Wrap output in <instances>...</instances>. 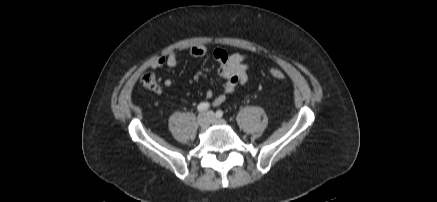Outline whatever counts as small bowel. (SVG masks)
Masks as SVG:
<instances>
[{"label":"small bowel","mask_w":437,"mask_h":202,"mask_svg":"<svg viewBox=\"0 0 437 202\" xmlns=\"http://www.w3.org/2000/svg\"><path fill=\"white\" fill-rule=\"evenodd\" d=\"M207 50L203 45H195L189 50V55L192 58H201L205 56ZM214 59L219 63L218 76L224 80L222 93L213 100V106H219L225 100L227 95L236 91L243 86L248 80L249 67L246 63V56L241 54L237 49L233 53H229L224 49H215L213 52ZM178 59L175 52L169 53L166 57H159L152 63V68H160L167 66L174 68L177 65ZM165 86L171 87L172 81L166 80ZM214 97L213 90L206 91V98Z\"/></svg>","instance_id":"c3829d8e"}]
</instances>
